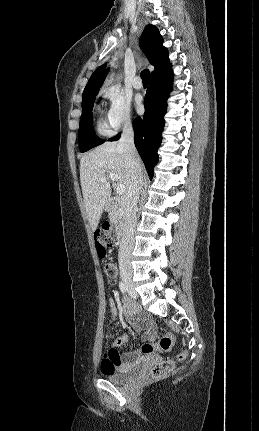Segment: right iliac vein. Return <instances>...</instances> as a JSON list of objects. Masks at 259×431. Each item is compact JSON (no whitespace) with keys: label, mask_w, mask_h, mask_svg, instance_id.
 <instances>
[{"label":"right iliac vein","mask_w":259,"mask_h":431,"mask_svg":"<svg viewBox=\"0 0 259 431\" xmlns=\"http://www.w3.org/2000/svg\"><path fill=\"white\" fill-rule=\"evenodd\" d=\"M121 277L124 282V285L126 286L127 291L130 293L132 297L136 298L137 293L134 290L131 273L126 270H123Z\"/></svg>","instance_id":"right-iliac-vein-1"}]
</instances>
